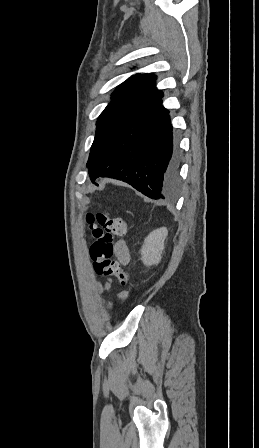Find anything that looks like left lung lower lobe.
<instances>
[{"label":"left lung lower lobe","mask_w":259,"mask_h":448,"mask_svg":"<svg viewBox=\"0 0 259 448\" xmlns=\"http://www.w3.org/2000/svg\"><path fill=\"white\" fill-rule=\"evenodd\" d=\"M163 96L159 90L142 110L131 113L94 157L88 171L93 183L100 176L115 178L152 199H163L175 189L180 153Z\"/></svg>","instance_id":"left-lung-lower-lobe-1"}]
</instances>
